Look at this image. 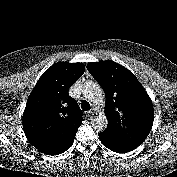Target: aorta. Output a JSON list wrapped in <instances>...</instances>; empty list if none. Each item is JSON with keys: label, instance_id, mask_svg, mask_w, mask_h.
<instances>
[{"label": "aorta", "instance_id": "aorta-1", "mask_svg": "<svg viewBox=\"0 0 177 177\" xmlns=\"http://www.w3.org/2000/svg\"><path fill=\"white\" fill-rule=\"evenodd\" d=\"M86 96L94 105H103L104 104V95L98 85L89 83L86 86ZM107 122L104 121L97 123V127L106 126Z\"/></svg>", "mask_w": 177, "mask_h": 177}]
</instances>
